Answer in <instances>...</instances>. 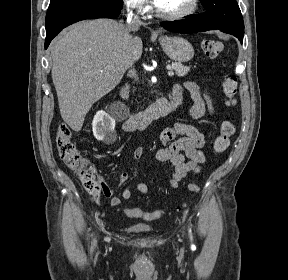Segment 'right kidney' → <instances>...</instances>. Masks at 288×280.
Returning a JSON list of instances; mask_svg holds the SVG:
<instances>
[{"instance_id":"ca27d5eb","label":"right kidney","mask_w":288,"mask_h":280,"mask_svg":"<svg viewBox=\"0 0 288 280\" xmlns=\"http://www.w3.org/2000/svg\"><path fill=\"white\" fill-rule=\"evenodd\" d=\"M115 121L109 115L97 112L92 122L93 134L97 140L111 143L115 140L114 136Z\"/></svg>"}]
</instances>
